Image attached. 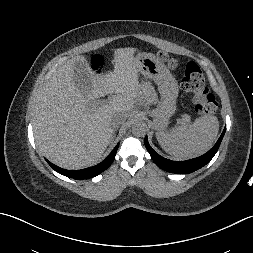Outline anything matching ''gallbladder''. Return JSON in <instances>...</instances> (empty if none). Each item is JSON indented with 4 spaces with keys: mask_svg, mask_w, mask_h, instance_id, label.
<instances>
[{
    "mask_svg": "<svg viewBox=\"0 0 253 253\" xmlns=\"http://www.w3.org/2000/svg\"><path fill=\"white\" fill-rule=\"evenodd\" d=\"M73 79L82 94H86L92 89L91 76L88 67L83 62H75Z\"/></svg>",
    "mask_w": 253,
    "mask_h": 253,
    "instance_id": "1",
    "label": "gallbladder"
}]
</instances>
